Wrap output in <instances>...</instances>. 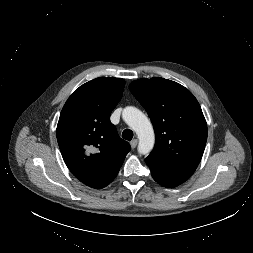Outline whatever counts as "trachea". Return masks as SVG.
I'll return each instance as SVG.
<instances>
[{"label":"trachea","mask_w":253,"mask_h":253,"mask_svg":"<svg viewBox=\"0 0 253 253\" xmlns=\"http://www.w3.org/2000/svg\"><path fill=\"white\" fill-rule=\"evenodd\" d=\"M122 138L125 139V140H128V141L132 140V138H133L132 130L125 129L122 133Z\"/></svg>","instance_id":"1"}]
</instances>
